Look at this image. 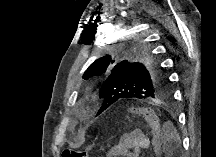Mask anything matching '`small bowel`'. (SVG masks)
<instances>
[{
    "mask_svg": "<svg viewBox=\"0 0 216 157\" xmlns=\"http://www.w3.org/2000/svg\"><path fill=\"white\" fill-rule=\"evenodd\" d=\"M150 146L149 138L140 130L124 134L109 156L135 157Z\"/></svg>",
    "mask_w": 216,
    "mask_h": 157,
    "instance_id": "small-bowel-1",
    "label": "small bowel"
}]
</instances>
